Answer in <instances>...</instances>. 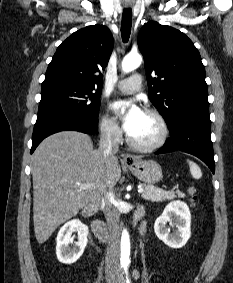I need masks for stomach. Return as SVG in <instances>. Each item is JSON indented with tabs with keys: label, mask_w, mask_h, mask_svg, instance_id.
Instances as JSON below:
<instances>
[{
	"label": "stomach",
	"mask_w": 233,
	"mask_h": 283,
	"mask_svg": "<svg viewBox=\"0 0 233 283\" xmlns=\"http://www.w3.org/2000/svg\"><path fill=\"white\" fill-rule=\"evenodd\" d=\"M127 167L139 180L148 185L159 182L163 177L161 166L153 160H137Z\"/></svg>",
	"instance_id": "stomach-1"
}]
</instances>
